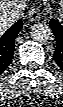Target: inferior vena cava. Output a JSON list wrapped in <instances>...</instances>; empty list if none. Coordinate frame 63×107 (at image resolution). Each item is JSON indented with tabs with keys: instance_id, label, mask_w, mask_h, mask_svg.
Listing matches in <instances>:
<instances>
[{
	"instance_id": "602c4592",
	"label": "inferior vena cava",
	"mask_w": 63,
	"mask_h": 107,
	"mask_svg": "<svg viewBox=\"0 0 63 107\" xmlns=\"http://www.w3.org/2000/svg\"><path fill=\"white\" fill-rule=\"evenodd\" d=\"M22 8L16 7L13 10L8 12V19L11 23L16 22L23 15Z\"/></svg>"
}]
</instances>
